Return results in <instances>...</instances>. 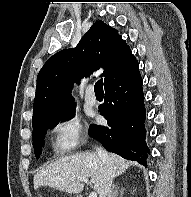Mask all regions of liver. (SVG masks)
<instances>
[{"instance_id": "6515ba94", "label": "liver", "mask_w": 191, "mask_h": 197, "mask_svg": "<svg viewBox=\"0 0 191 197\" xmlns=\"http://www.w3.org/2000/svg\"><path fill=\"white\" fill-rule=\"evenodd\" d=\"M132 164L116 154H109L107 169L113 179L124 173ZM107 169L95 152L65 156L43 166L34 175V188L49 186L70 194H79L84 188L80 179L90 177L92 188L100 195Z\"/></svg>"}]
</instances>
